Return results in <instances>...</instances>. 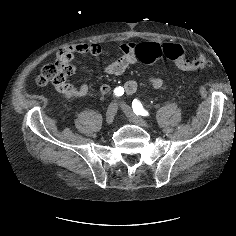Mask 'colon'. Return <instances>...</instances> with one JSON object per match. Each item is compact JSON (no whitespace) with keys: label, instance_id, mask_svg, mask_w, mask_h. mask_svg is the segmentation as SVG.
<instances>
[{"label":"colon","instance_id":"1","mask_svg":"<svg viewBox=\"0 0 236 236\" xmlns=\"http://www.w3.org/2000/svg\"><path fill=\"white\" fill-rule=\"evenodd\" d=\"M135 54L139 61L148 65L155 63L161 56H165L173 61L178 68L186 71L201 70L208 65V61L202 53L188 58L185 48L175 43H163L161 46L140 44ZM70 66V55L60 50L56 61L42 68L40 75L36 79V84L44 87L50 83L56 85L63 82L69 74Z\"/></svg>","mask_w":236,"mask_h":236}]
</instances>
